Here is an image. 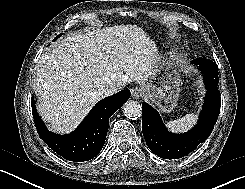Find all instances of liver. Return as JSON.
<instances>
[{
  "mask_svg": "<svg viewBox=\"0 0 245 189\" xmlns=\"http://www.w3.org/2000/svg\"><path fill=\"white\" fill-rule=\"evenodd\" d=\"M160 58L155 42L137 25L68 35L35 67L38 112L51 130L69 133L107 88L147 83Z\"/></svg>",
  "mask_w": 245,
  "mask_h": 189,
  "instance_id": "obj_1",
  "label": "liver"
}]
</instances>
